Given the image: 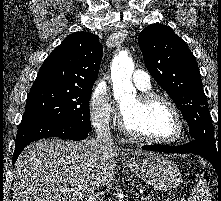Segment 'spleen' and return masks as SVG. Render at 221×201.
Segmentation results:
<instances>
[{"mask_svg": "<svg viewBox=\"0 0 221 201\" xmlns=\"http://www.w3.org/2000/svg\"><path fill=\"white\" fill-rule=\"evenodd\" d=\"M189 201H211V195L207 183L202 177H198L196 187L193 188Z\"/></svg>", "mask_w": 221, "mask_h": 201, "instance_id": "1", "label": "spleen"}]
</instances>
